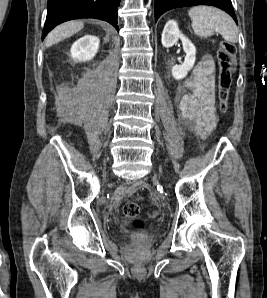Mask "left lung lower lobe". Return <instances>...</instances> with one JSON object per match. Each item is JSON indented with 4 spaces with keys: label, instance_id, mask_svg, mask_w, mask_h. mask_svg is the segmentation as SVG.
<instances>
[{
    "label": "left lung lower lobe",
    "instance_id": "obj_1",
    "mask_svg": "<svg viewBox=\"0 0 267 298\" xmlns=\"http://www.w3.org/2000/svg\"><path fill=\"white\" fill-rule=\"evenodd\" d=\"M195 5H212L218 7L230 14L237 23L230 0H155V20L157 21L168 10Z\"/></svg>",
    "mask_w": 267,
    "mask_h": 298
}]
</instances>
